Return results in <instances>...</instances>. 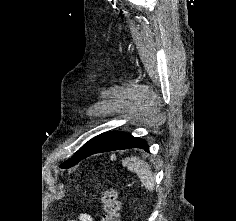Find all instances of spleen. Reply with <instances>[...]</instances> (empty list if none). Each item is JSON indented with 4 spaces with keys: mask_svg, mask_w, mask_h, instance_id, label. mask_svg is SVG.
<instances>
[{
    "mask_svg": "<svg viewBox=\"0 0 236 221\" xmlns=\"http://www.w3.org/2000/svg\"><path fill=\"white\" fill-rule=\"evenodd\" d=\"M122 163L128 168V170L135 172L139 176L141 182L147 189H154L155 179L147 162L139 157H130L123 160Z\"/></svg>",
    "mask_w": 236,
    "mask_h": 221,
    "instance_id": "obj_1",
    "label": "spleen"
}]
</instances>
